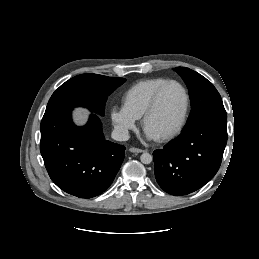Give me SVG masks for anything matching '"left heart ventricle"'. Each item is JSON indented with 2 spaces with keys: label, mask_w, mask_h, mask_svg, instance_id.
<instances>
[{
  "label": "left heart ventricle",
  "mask_w": 259,
  "mask_h": 259,
  "mask_svg": "<svg viewBox=\"0 0 259 259\" xmlns=\"http://www.w3.org/2000/svg\"><path fill=\"white\" fill-rule=\"evenodd\" d=\"M184 107L182 89L175 84L169 85L161 95L157 110L148 120L146 131L156 138L167 134L180 121Z\"/></svg>",
  "instance_id": "left-heart-ventricle-1"
}]
</instances>
